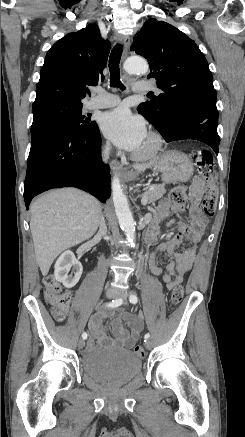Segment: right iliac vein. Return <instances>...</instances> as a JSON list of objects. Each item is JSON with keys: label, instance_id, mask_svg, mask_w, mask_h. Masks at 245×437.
I'll return each instance as SVG.
<instances>
[{"label": "right iliac vein", "instance_id": "63e3f726", "mask_svg": "<svg viewBox=\"0 0 245 437\" xmlns=\"http://www.w3.org/2000/svg\"><path fill=\"white\" fill-rule=\"evenodd\" d=\"M106 296H107L108 298H116V297L119 296V294H118V292H116L115 290L110 289V290H108V291L106 292ZM84 346H85V341H84V339H80L79 342H78V347H79V349H82Z\"/></svg>", "mask_w": 245, "mask_h": 437}]
</instances>
